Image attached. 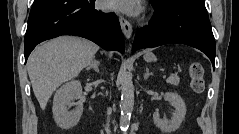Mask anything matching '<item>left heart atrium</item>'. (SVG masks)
I'll return each mask as SVG.
<instances>
[{"label": "left heart atrium", "instance_id": "obj_1", "mask_svg": "<svg viewBox=\"0 0 239 134\" xmlns=\"http://www.w3.org/2000/svg\"><path fill=\"white\" fill-rule=\"evenodd\" d=\"M108 6L111 9L119 10L127 14L133 15L139 12L138 2L135 0H110Z\"/></svg>", "mask_w": 239, "mask_h": 134}]
</instances>
